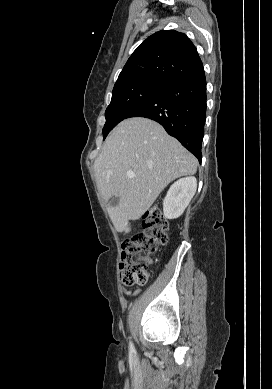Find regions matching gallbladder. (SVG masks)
<instances>
[{"label":"gallbladder","mask_w":272,"mask_h":389,"mask_svg":"<svg viewBox=\"0 0 272 389\" xmlns=\"http://www.w3.org/2000/svg\"><path fill=\"white\" fill-rule=\"evenodd\" d=\"M109 204L112 206V207H116L118 204H119V198L117 196H113L110 201H109Z\"/></svg>","instance_id":"bac80fb5"}]
</instances>
